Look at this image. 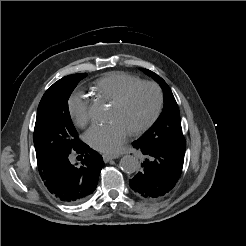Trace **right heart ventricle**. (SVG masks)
I'll return each instance as SVG.
<instances>
[{
    "mask_svg": "<svg viewBox=\"0 0 246 246\" xmlns=\"http://www.w3.org/2000/svg\"><path fill=\"white\" fill-rule=\"evenodd\" d=\"M140 81L128 73L113 72L96 80L93 88L99 97L113 102L126 88Z\"/></svg>",
    "mask_w": 246,
    "mask_h": 246,
    "instance_id": "1",
    "label": "right heart ventricle"
}]
</instances>
